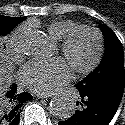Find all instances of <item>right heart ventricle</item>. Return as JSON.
<instances>
[{"instance_id":"right-heart-ventricle-1","label":"right heart ventricle","mask_w":125,"mask_h":125,"mask_svg":"<svg viewBox=\"0 0 125 125\" xmlns=\"http://www.w3.org/2000/svg\"><path fill=\"white\" fill-rule=\"evenodd\" d=\"M80 26L72 20H56L47 25V32L55 41H62L72 30Z\"/></svg>"}]
</instances>
